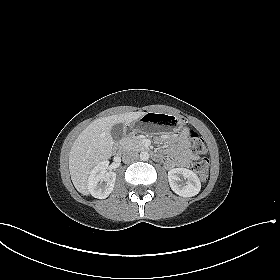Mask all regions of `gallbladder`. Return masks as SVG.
Here are the masks:
<instances>
[{
    "label": "gallbladder",
    "instance_id": "gallbladder-1",
    "mask_svg": "<svg viewBox=\"0 0 280 280\" xmlns=\"http://www.w3.org/2000/svg\"><path fill=\"white\" fill-rule=\"evenodd\" d=\"M125 134V126L122 123L114 124L111 128V136L115 142H119Z\"/></svg>",
    "mask_w": 280,
    "mask_h": 280
}]
</instances>
